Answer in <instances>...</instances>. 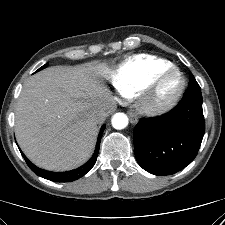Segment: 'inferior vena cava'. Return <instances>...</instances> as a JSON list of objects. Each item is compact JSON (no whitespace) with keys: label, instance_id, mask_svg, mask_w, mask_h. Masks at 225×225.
I'll list each match as a JSON object with an SVG mask.
<instances>
[{"label":"inferior vena cava","instance_id":"inferior-vena-cava-1","mask_svg":"<svg viewBox=\"0 0 225 225\" xmlns=\"http://www.w3.org/2000/svg\"><path fill=\"white\" fill-rule=\"evenodd\" d=\"M115 107V102L111 99H108L102 107L99 109V111L95 114V119L98 123L103 122L106 117L109 116V114L113 111Z\"/></svg>","mask_w":225,"mask_h":225}]
</instances>
